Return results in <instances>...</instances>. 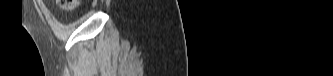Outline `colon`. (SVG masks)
Returning a JSON list of instances; mask_svg holds the SVG:
<instances>
[{
    "label": "colon",
    "mask_w": 333,
    "mask_h": 76,
    "mask_svg": "<svg viewBox=\"0 0 333 76\" xmlns=\"http://www.w3.org/2000/svg\"><path fill=\"white\" fill-rule=\"evenodd\" d=\"M77 4V0H57L58 7L63 10H73Z\"/></svg>",
    "instance_id": "5ec220e1"
}]
</instances>
